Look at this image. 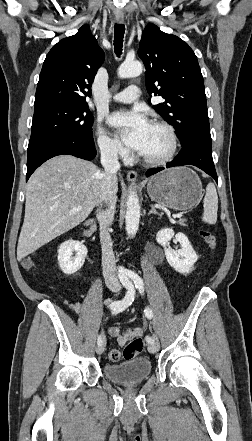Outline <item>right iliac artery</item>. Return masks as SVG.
Wrapping results in <instances>:
<instances>
[{
  "label": "right iliac artery",
  "mask_w": 252,
  "mask_h": 441,
  "mask_svg": "<svg viewBox=\"0 0 252 441\" xmlns=\"http://www.w3.org/2000/svg\"><path fill=\"white\" fill-rule=\"evenodd\" d=\"M123 286L127 289L126 295L122 300L112 302L109 307L110 309H114L116 306L120 307L117 313L124 311L127 307H129L134 301L135 289L132 283L128 279H124L121 281ZM101 342V338H98V344Z\"/></svg>",
  "instance_id": "obj_1"
}]
</instances>
